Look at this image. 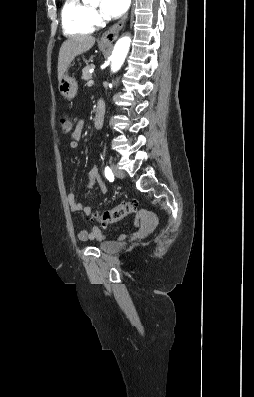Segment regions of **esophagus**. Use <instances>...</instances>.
I'll use <instances>...</instances> for the list:
<instances>
[{
    "label": "esophagus",
    "instance_id": "obj_1",
    "mask_svg": "<svg viewBox=\"0 0 254 397\" xmlns=\"http://www.w3.org/2000/svg\"><path fill=\"white\" fill-rule=\"evenodd\" d=\"M127 17L128 14L124 15L117 23H115L113 26L107 29L100 38L101 42L103 43L114 42L117 39L120 30L123 28Z\"/></svg>",
    "mask_w": 254,
    "mask_h": 397
}]
</instances>
